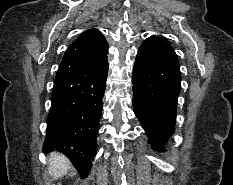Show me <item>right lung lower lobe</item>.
Instances as JSON below:
<instances>
[{"label": "right lung lower lobe", "mask_w": 233, "mask_h": 185, "mask_svg": "<svg viewBox=\"0 0 233 185\" xmlns=\"http://www.w3.org/2000/svg\"><path fill=\"white\" fill-rule=\"evenodd\" d=\"M108 61L66 64L57 71L43 151L57 149L85 178L96 154Z\"/></svg>", "instance_id": "right-lung-lower-lobe-1"}]
</instances>
